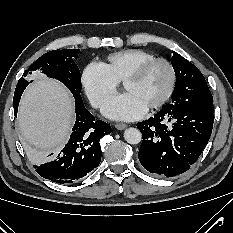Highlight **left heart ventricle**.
Listing matches in <instances>:
<instances>
[{"label":"left heart ventricle","instance_id":"left-heart-ventricle-1","mask_svg":"<svg viewBox=\"0 0 233 233\" xmlns=\"http://www.w3.org/2000/svg\"><path fill=\"white\" fill-rule=\"evenodd\" d=\"M169 83V71L163 64H155L137 81L124 86L146 108L158 101L165 93Z\"/></svg>","mask_w":233,"mask_h":233}]
</instances>
